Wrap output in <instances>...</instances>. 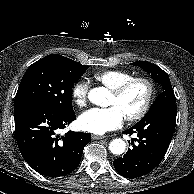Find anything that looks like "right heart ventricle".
<instances>
[{"label":"right heart ventricle","mask_w":194,"mask_h":194,"mask_svg":"<svg viewBox=\"0 0 194 194\" xmlns=\"http://www.w3.org/2000/svg\"><path fill=\"white\" fill-rule=\"evenodd\" d=\"M94 79L108 89H113L134 75L122 70H105L94 74Z\"/></svg>","instance_id":"1"}]
</instances>
